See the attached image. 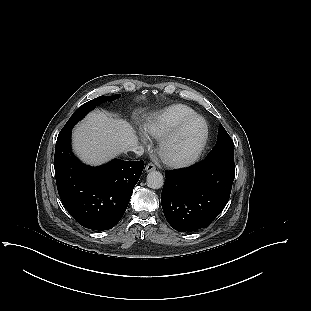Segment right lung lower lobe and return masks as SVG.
<instances>
[{
    "instance_id": "1",
    "label": "right lung lower lobe",
    "mask_w": 311,
    "mask_h": 311,
    "mask_svg": "<svg viewBox=\"0 0 311 311\" xmlns=\"http://www.w3.org/2000/svg\"><path fill=\"white\" fill-rule=\"evenodd\" d=\"M71 131L57 138L54 168L63 205L82 226L92 230L113 228L128 206L144 161L114 159L100 166L82 164L71 152Z\"/></svg>"
}]
</instances>
